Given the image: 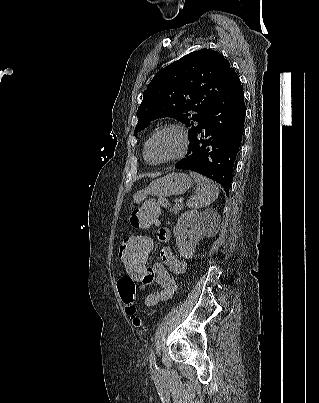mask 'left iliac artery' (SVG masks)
I'll return each mask as SVG.
<instances>
[{
    "label": "left iliac artery",
    "instance_id": "1",
    "mask_svg": "<svg viewBox=\"0 0 319 403\" xmlns=\"http://www.w3.org/2000/svg\"><path fill=\"white\" fill-rule=\"evenodd\" d=\"M150 367H151V369H158L157 364H156L154 350H151V353H150Z\"/></svg>",
    "mask_w": 319,
    "mask_h": 403
}]
</instances>
